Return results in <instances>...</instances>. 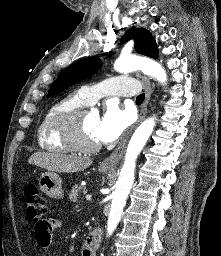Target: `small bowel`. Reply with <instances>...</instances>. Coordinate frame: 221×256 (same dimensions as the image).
Segmentation results:
<instances>
[{
	"mask_svg": "<svg viewBox=\"0 0 221 256\" xmlns=\"http://www.w3.org/2000/svg\"><path fill=\"white\" fill-rule=\"evenodd\" d=\"M61 226L58 219H47L46 226L42 229L35 228V238L37 244L45 250L46 256L51 255V235L54 230ZM82 256H94V252L85 244L82 250Z\"/></svg>",
	"mask_w": 221,
	"mask_h": 256,
	"instance_id": "obj_1",
	"label": "small bowel"
}]
</instances>
